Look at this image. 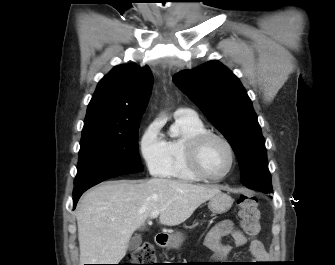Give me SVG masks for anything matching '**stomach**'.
I'll use <instances>...</instances> for the list:
<instances>
[{"instance_id":"obj_1","label":"stomach","mask_w":335,"mask_h":265,"mask_svg":"<svg viewBox=\"0 0 335 265\" xmlns=\"http://www.w3.org/2000/svg\"><path fill=\"white\" fill-rule=\"evenodd\" d=\"M233 204V199L230 195L220 192L210 198L208 207L214 214H222L227 212ZM183 240L182 234L177 233L172 236L167 242L168 247H177Z\"/></svg>"}]
</instances>
